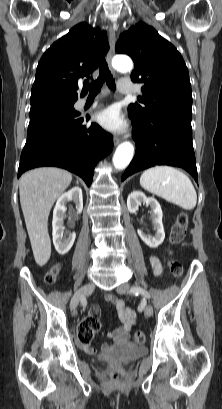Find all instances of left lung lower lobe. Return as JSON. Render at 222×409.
<instances>
[{
  "mask_svg": "<svg viewBox=\"0 0 222 409\" xmlns=\"http://www.w3.org/2000/svg\"><path fill=\"white\" fill-rule=\"evenodd\" d=\"M129 117L134 126L136 153L122 181L140 170L170 165L185 169L198 182L191 120L170 113L150 119Z\"/></svg>",
  "mask_w": 222,
  "mask_h": 409,
  "instance_id": "left-lung-lower-lobe-1",
  "label": "left lung lower lobe"
}]
</instances>
